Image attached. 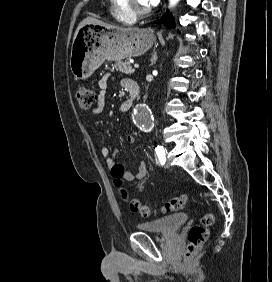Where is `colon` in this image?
I'll use <instances>...</instances> for the list:
<instances>
[{"label":"colon","mask_w":272,"mask_h":282,"mask_svg":"<svg viewBox=\"0 0 272 282\" xmlns=\"http://www.w3.org/2000/svg\"><path fill=\"white\" fill-rule=\"evenodd\" d=\"M75 95L80 107L84 110H88L93 107L98 99L96 90L88 86L77 87L75 90ZM121 197L127 204L130 211L142 215H149L151 213L150 209L143 205L139 200L129 198L126 190L121 191ZM186 202V195H178L163 206L162 212L165 214L177 212L185 207ZM214 222V214L212 212H207L202 216L199 224L194 225L190 229L188 233V246L186 250L187 258L190 259L199 252L207 238L209 228L214 224Z\"/></svg>","instance_id":"5ec220e1"}]
</instances>
